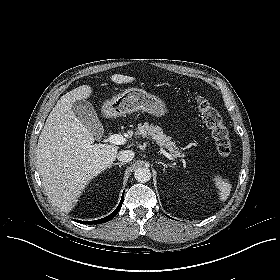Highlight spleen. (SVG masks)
I'll use <instances>...</instances> for the list:
<instances>
[{
    "label": "spleen",
    "instance_id": "obj_1",
    "mask_svg": "<svg viewBox=\"0 0 280 280\" xmlns=\"http://www.w3.org/2000/svg\"><path fill=\"white\" fill-rule=\"evenodd\" d=\"M215 183L219 189V199L220 201H225L231 192V184L227 179H223L221 176L215 177Z\"/></svg>",
    "mask_w": 280,
    "mask_h": 280
}]
</instances>
